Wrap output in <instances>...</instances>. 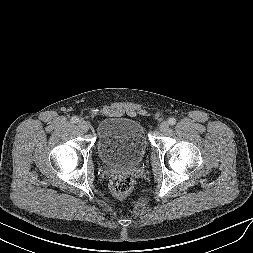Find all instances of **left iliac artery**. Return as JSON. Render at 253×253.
<instances>
[{
    "label": "left iliac artery",
    "mask_w": 253,
    "mask_h": 253,
    "mask_svg": "<svg viewBox=\"0 0 253 253\" xmlns=\"http://www.w3.org/2000/svg\"><path fill=\"white\" fill-rule=\"evenodd\" d=\"M168 123L170 125H175L176 124V119L175 118H169Z\"/></svg>",
    "instance_id": "1"
}]
</instances>
